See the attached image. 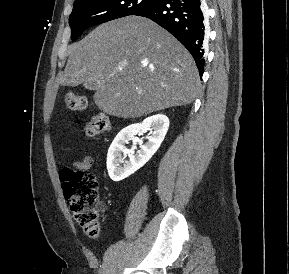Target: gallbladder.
I'll list each match as a JSON object with an SVG mask.
<instances>
[{
    "label": "gallbladder",
    "instance_id": "1",
    "mask_svg": "<svg viewBox=\"0 0 289 274\" xmlns=\"http://www.w3.org/2000/svg\"><path fill=\"white\" fill-rule=\"evenodd\" d=\"M85 88L92 90L94 88L93 83L84 84Z\"/></svg>",
    "mask_w": 289,
    "mask_h": 274
}]
</instances>
